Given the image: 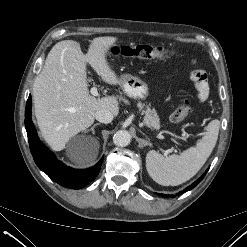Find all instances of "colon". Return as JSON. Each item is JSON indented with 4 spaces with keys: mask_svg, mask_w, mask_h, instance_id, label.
I'll use <instances>...</instances> for the list:
<instances>
[{
    "mask_svg": "<svg viewBox=\"0 0 247 247\" xmlns=\"http://www.w3.org/2000/svg\"><path fill=\"white\" fill-rule=\"evenodd\" d=\"M115 56L143 58V59H164L171 58L177 55V52L167 46H153V45H124L116 46L111 50ZM190 99L184 100L172 112L170 119L174 123L184 122L190 112Z\"/></svg>",
    "mask_w": 247,
    "mask_h": 247,
    "instance_id": "colon-1",
    "label": "colon"
}]
</instances>
